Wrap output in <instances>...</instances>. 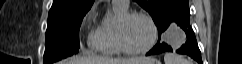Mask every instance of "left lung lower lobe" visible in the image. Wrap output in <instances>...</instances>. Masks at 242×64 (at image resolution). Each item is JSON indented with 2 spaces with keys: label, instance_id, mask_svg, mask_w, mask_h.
Masks as SVG:
<instances>
[{
  "label": "left lung lower lobe",
  "instance_id": "left-lung-lower-lobe-1",
  "mask_svg": "<svg viewBox=\"0 0 242 64\" xmlns=\"http://www.w3.org/2000/svg\"><path fill=\"white\" fill-rule=\"evenodd\" d=\"M177 25L180 26L186 33L187 41L179 49L176 50L179 54H185L193 58L198 64H203L201 59V52L199 50L195 33L190 26V16H186L177 22ZM173 51L171 46L164 42H158L155 47L150 50L147 55H156L164 52Z\"/></svg>",
  "mask_w": 242,
  "mask_h": 64
}]
</instances>
